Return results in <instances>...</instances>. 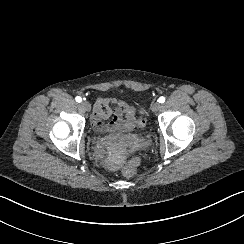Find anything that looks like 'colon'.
<instances>
[{
	"mask_svg": "<svg viewBox=\"0 0 244 244\" xmlns=\"http://www.w3.org/2000/svg\"><path fill=\"white\" fill-rule=\"evenodd\" d=\"M137 170H138L137 165L134 163H131L129 165L124 166L122 169V172L124 175L130 177V176L134 175L137 172Z\"/></svg>",
	"mask_w": 244,
	"mask_h": 244,
	"instance_id": "5ec220e1",
	"label": "colon"
}]
</instances>
